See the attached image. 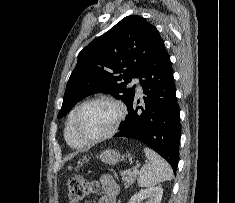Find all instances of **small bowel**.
Masks as SVG:
<instances>
[{"label":"small bowel","mask_w":235,"mask_h":203,"mask_svg":"<svg viewBox=\"0 0 235 203\" xmlns=\"http://www.w3.org/2000/svg\"><path fill=\"white\" fill-rule=\"evenodd\" d=\"M101 186L103 194L99 198L98 203H116L117 195L119 193V185L110 175L102 176Z\"/></svg>","instance_id":"c3829d8e"}]
</instances>
